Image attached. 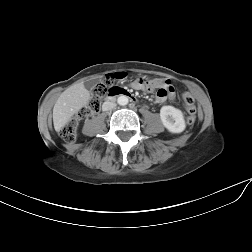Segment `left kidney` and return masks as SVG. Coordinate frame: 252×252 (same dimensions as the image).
<instances>
[{"label":"left kidney","instance_id":"obj_1","mask_svg":"<svg viewBox=\"0 0 252 252\" xmlns=\"http://www.w3.org/2000/svg\"><path fill=\"white\" fill-rule=\"evenodd\" d=\"M160 118L164 127L172 133H181L186 128L182 111L173 106H163Z\"/></svg>","mask_w":252,"mask_h":252}]
</instances>
